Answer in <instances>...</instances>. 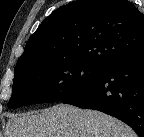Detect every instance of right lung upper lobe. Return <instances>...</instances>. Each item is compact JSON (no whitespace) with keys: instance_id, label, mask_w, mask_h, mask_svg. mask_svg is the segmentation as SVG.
I'll list each match as a JSON object with an SVG mask.
<instances>
[{"instance_id":"right-lung-upper-lobe-1","label":"right lung upper lobe","mask_w":144,"mask_h":137,"mask_svg":"<svg viewBox=\"0 0 144 137\" xmlns=\"http://www.w3.org/2000/svg\"><path fill=\"white\" fill-rule=\"evenodd\" d=\"M144 49V15L127 0H78L47 17L16 67L79 59L108 67Z\"/></svg>"}]
</instances>
